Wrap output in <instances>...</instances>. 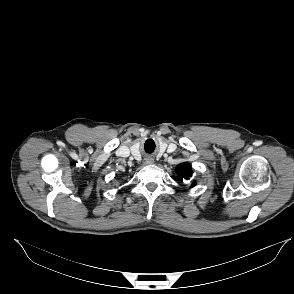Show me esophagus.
<instances>
[{
  "instance_id": "34e87169",
  "label": "esophagus",
  "mask_w": 294,
  "mask_h": 294,
  "mask_svg": "<svg viewBox=\"0 0 294 294\" xmlns=\"http://www.w3.org/2000/svg\"><path fill=\"white\" fill-rule=\"evenodd\" d=\"M146 163H147V164L152 163V159H150V158H146Z\"/></svg>"
}]
</instances>
